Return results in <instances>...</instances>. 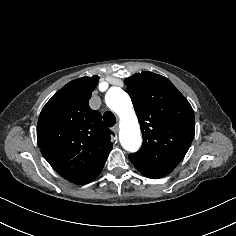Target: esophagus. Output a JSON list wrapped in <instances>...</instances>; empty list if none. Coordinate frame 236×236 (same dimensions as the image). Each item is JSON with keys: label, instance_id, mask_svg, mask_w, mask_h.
I'll return each mask as SVG.
<instances>
[{"label": "esophagus", "instance_id": "34e87169", "mask_svg": "<svg viewBox=\"0 0 236 236\" xmlns=\"http://www.w3.org/2000/svg\"><path fill=\"white\" fill-rule=\"evenodd\" d=\"M112 130L114 131V133H117L119 131V126L115 125Z\"/></svg>", "mask_w": 236, "mask_h": 236}]
</instances>
